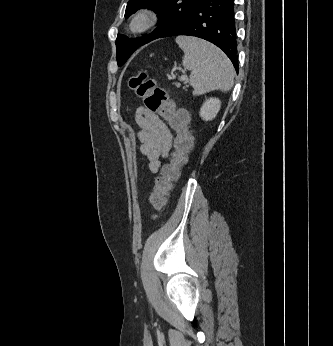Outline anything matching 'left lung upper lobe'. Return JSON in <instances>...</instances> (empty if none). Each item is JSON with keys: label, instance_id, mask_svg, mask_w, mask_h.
I'll use <instances>...</instances> for the list:
<instances>
[{"label": "left lung upper lobe", "instance_id": "5c2ea615", "mask_svg": "<svg viewBox=\"0 0 333 346\" xmlns=\"http://www.w3.org/2000/svg\"><path fill=\"white\" fill-rule=\"evenodd\" d=\"M200 0H129L125 17L141 8H152L159 14V26L149 35L140 39H129L118 34L116 39V58L118 66L123 65L130 55L140 46L159 38L173 25L182 20Z\"/></svg>", "mask_w": 333, "mask_h": 346}]
</instances>
